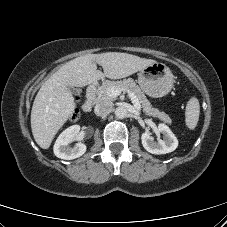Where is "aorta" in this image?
Masks as SVG:
<instances>
[{"mask_svg":"<svg viewBox=\"0 0 227 227\" xmlns=\"http://www.w3.org/2000/svg\"><path fill=\"white\" fill-rule=\"evenodd\" d=\"M127 109L125 107H117L115 109V116L119 119H123V118H126L127 117Z\"/></svg>","mask_w":227,"mask_h":227,"instance_id":"aorta-1","label":"aorta"}]
</instances>
